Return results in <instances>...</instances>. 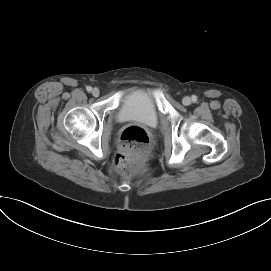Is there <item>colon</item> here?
I'll use <instances>...</instances> for the list:
<instances>
[{
    "instance_id": "obj_1",
    "label": "colon",
    "mask_w": 271,
    "mask_h": 271,
    "mask_svg": "<svg viewBox=\"0 0 271 271\" xmlns=\"http://www.w3.org/2000/svg\"><path fill=\"white\" fill-rule=\"evenodd\" d=\"M149 143V135L142 127L126 128L121 134L119 151L115 158L117 168L123 173L138 171L147 157Z\"/></svg>"
}]
</instances>
